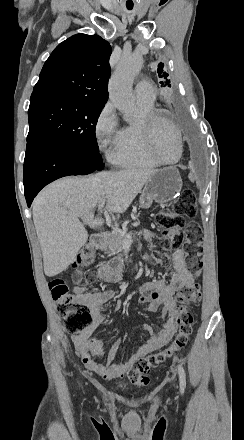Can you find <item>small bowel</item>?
<instances>
[{"instance_id": "obj_1", "label": "small bowel", "mask_w": 244, "mask_h": 440, "mask_svg": "<svg viewBox=\"0 0 244 440\" xmlns=\"http://www.w3.org/2000/svg\"><path fill=\"white\" fill-rule=\"evenodd\" d=\"M155 237L152 231H146L145 238L151 241ZM186 255L182 249H176L170 254L173 271L168 281L157 279L144 282L139 289V302L147 304L148 312H156L162 309L165 319L164 327L158 334H154L152 327L145 325L141 330L150 334V339L139 345L135 352L125 361L116 362L118 345L106 350L103 342L90 336V332L73 333L72 342L78 356L87 369L96 373L103 379L111 380L124 377L135 361L136 353H144L145 356L161 349L169 343L176 332L174 322L176 315L174 295L182 287L195 283V275L187 268ZM124 267L123 259L117 258L111 263L104 264L96 270V277L106 283H117L121 280ZM87 271H78L74 278L73 295L77 300H87V306L93 317L94 326L104 321V304L114 298L112 290H97L87 292L83 278Z\"/></svg>"}]
</instances>
